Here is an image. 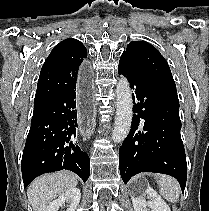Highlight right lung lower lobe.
Listing matches in <instances>:
<instances>
[{"label": "right lung lower lobe", "mask_w": 209, "mask_h": 211, "mask_svg": "<svg viewBox=\"0 0 209 211\" xmlns=\"http://www.w3.org/2000/svg\"><path fill=\"white\" fill-rule=\"evenodd\" d=\"M76 87L33 112L22 156L24 188L37 176L68 169L85 182L90 160L75 141Z\"/></svg>", "instance_id": "98d812e1"}]
</instances>
